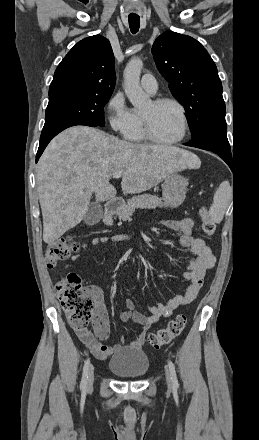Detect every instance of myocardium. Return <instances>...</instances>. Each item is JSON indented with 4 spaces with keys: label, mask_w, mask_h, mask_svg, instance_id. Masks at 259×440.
<instances>
[{
    "label": "myocardium",
    "mask_w": 259,
    "mask_h": 440,
    "mask_svg": "<svg viewBox=\"0 0 259 440\" xmlns=\"http://www.w3.org/2000/svg\"><path fill=\"white\" fill-rule=\"evenodd\" d=\"M152 103L155 106H160V105H164V104H172V105L176 106L178 108L180 116H181L182 132H181L180 136L175 139L163 140L155 134L149 117L142 113L141 118H142V123H143V130L146 135V138L149 139L150 141H152L156 144H160V145H174V144H177V143H180L181 141H183L188 133V128H189L188 118H187L186 109H185L184 105L180 101H178L174 98H169V97L156 98L152 101Z\"/></svg>",
    "instance_id": "1"
}]
</instances>
